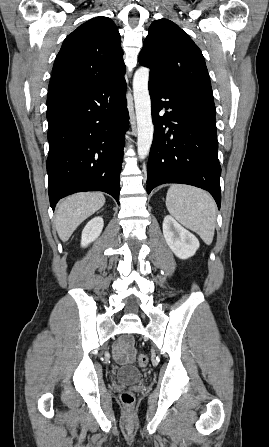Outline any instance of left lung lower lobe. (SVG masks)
I'll return each instance as SVG.
<instances>
[{"label":"left lung lower lobe","mask_w":269,"mask_h":447,"mask_svg":"<svg viewBox=\"0 0 269 447\" xmlns=\"http://www.w3.org/2000/svg\"><path fill=\"white\" fill-rule=\"evenodd\" d=\"M154 136L147 165V193L165 183L193 185L221 203L215 115L181 92L149 80ZM166 109L163 116L160 111Z\"/></svg>","instance_id":"obj_1"}]
</instances>
